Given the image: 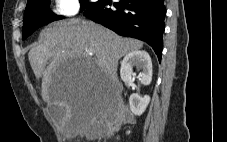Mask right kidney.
<instances>
[{"mask_svg": "<svg viewBox=\"0 0 227 142\" xmlns=\"http://www.w3.org/2000/svg\"><path fill=\"white\" fill-rule=\"evenodd\" d=\"M142 69V73L138 76L139 81L143 85H149L152 80V62L149 54L143 50L133 51L127 54L121 62L120 75L125 84L130 87L134 86L135 73L133 67ZM150 102V97L145 95L141 97L138 94H131L129 98V105L131 112L140 116L146 110Z\"/></svg>", "mask_w": 227, "mask_h": 142, "instance_id": "ca27d5eb", "label": "right kidney"}]
</instances>
